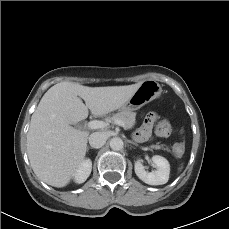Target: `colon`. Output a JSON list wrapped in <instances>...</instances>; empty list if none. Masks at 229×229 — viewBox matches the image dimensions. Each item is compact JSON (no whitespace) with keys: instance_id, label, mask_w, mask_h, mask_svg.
I'll list each match as a JSON object with an SVG mask.
<instances>
[{"instance_id":"obj_1","label":"colon","mask_w":229,"mask_h":229,"mask_svg":"<svg viewBox=\"0 0 229 229\" xmlns=\"http://www.w3.org/2000/svg\"><path fill=\"white\" fill-rule=\"evenodd\" d=\"M173 132V128L171 126V124L166 121V120H163L161 122H159L157 125H156V128H155V134L158 136V137H168L172 134ZM183 152V149L181 146L177 147L175 150H174V153L177 155V156H180L181 153Z\"/></svg>"}]
</instances>
